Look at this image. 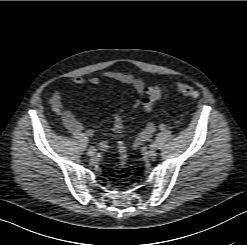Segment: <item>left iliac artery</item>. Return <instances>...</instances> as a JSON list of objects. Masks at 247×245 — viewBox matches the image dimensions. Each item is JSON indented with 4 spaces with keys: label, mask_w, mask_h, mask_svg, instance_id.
I'll use <instances>...</instances> for the list:
<instances>
[{
    "label": "left iliac artery",
    "mask_w": 247,
    "mask_h": 245,
    "mask_svg": "<svg viewBox=\"0 0 247 245\" xmlns=\"http://www.w3.org/2000/svg\"><path fill=\"white\" fill-rule=\"evenodd\" d=\"M160 129H161V130H164V129H165V125H164V124H161V125H160Z\"/></svg>",
    "instance_id": "left-iliac-artery-1"
}]
</instances>
